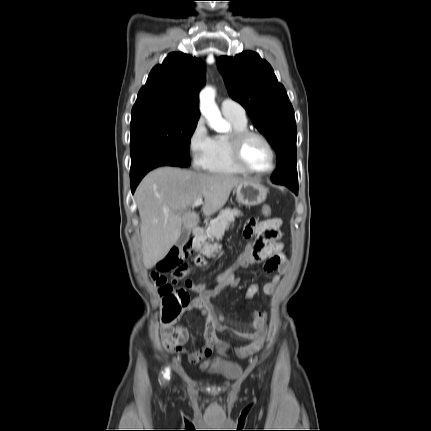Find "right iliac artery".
<instances>
[{
    "instance_id": "obj_1",
    "label": "right iliac artery",
    "mask_w": 431,
    "mask_h": 431,
    "mask_svg": "<svg viewBox=\"0 0 431 431\" xmlns=\"http://www.w3.org/2000/svg\"><path fill=\"white\" fill-rule=\"evenodd\" d=\"M165 376L168 377L169 376V370L166 371Z\"/></svg>"
}]
</instances>
